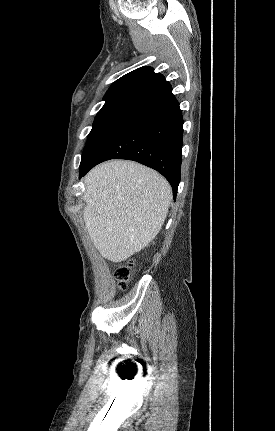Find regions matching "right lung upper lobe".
<instances>
[{"instance_id": "1", "label": "right lung upper lobe", "mask_w": 275, "mask_h": 431, "mask_svg": "<svg viewBox=\"0 0 275 431\" xmlns=\"http://www.w3.org/2000/svg\"><path fill=\"white\" fill-rule=\"evenodd\" d=\"M172 91V87L151 67L138 68L115 81L104 96L98 113L118 110L137 111Z\"/></svg>"}]
</instances>
